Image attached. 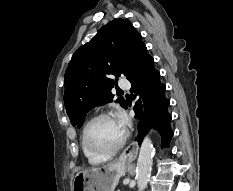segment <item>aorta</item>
Returning <instances> with one entry per match:
<instances>
[{"mask_svg": "<svg viewBox=\"0 0 233 191\" xmlns=\"http://www.w3.org/2000/svg\"><path fill=\"white\" fill-rule=\"evenodd\" d=\"M154 156V148L149 136H145L137 161L136 179L138 191H144L147 187Z\"/></svg>", "mask_w": 233, "mask_h": 191, "instance_id": "obj_1", "label": "aorta"}]
</instances>
